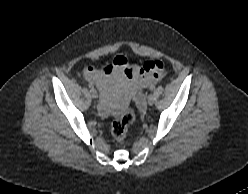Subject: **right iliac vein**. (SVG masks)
<instances>
[{"label": "right iliac vein", "mask_w": 248, "mask_h": 194, "mask_svg": "<svg viewBox=\"0 0 248 194\" xmlns=\"http://www.w3.org/2000/svg\"><path fill=\"white\" fill-rule=\"evenodd\" d=\"M90 95L93 99H96L98 97L97 91L95 89L90 90Z\"/></svg>", "instance_id": "63e3f726"}]
</instances>
